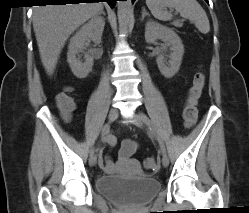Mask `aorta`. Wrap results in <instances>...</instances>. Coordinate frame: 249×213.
Wrapping results in <instances>:
<instances>
[{
    "label": "aorta",
    "instance_id": "762f6f07",
    "mask_svg": "<svg viewBox=\"0 0 249 213\" xmlns=\"http://www.w3.org/2000/svg\"><path fill=\"white\" fill-rule=\"evenodd\" d=\"M131 0L117 1V15L120 30L126 32L131 16Z\"/></svg>",
    "mask_w": 249,
    "mask_h": 213
}]
</instances>
